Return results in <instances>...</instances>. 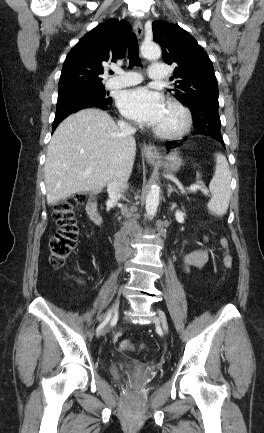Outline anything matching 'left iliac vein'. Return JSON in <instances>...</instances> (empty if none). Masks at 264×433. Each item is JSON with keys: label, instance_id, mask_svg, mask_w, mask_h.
Wrapping results in <instances>:
<instances>
[{"label": "left iliac vein", "instance_id": "1", "mask_svg": "<svg viewBox=\"0 0 264 433\" xmlns=\"http://www.w3.org/2000/svg\"><path fill=\"white\" fill-rule=\"evenodd\" d=\"M157 313H158V318H159V321L161 323V326H162L164 332L167 334L168 333V324H167L165 315L161 310H157Z\"/></svg>", "mask_w": 264, "mask_h": 433}]
</instances>
